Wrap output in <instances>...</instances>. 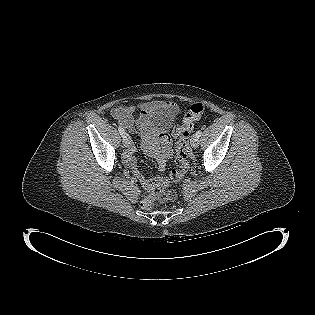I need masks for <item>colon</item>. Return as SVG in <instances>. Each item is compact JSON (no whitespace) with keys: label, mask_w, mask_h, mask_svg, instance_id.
Masks as SVG:
<instances>
[{"label":"colon","mask_w":315,"mask_h":315,"mask_svg":"<svg viewBox=\"0 0 315 315\" xmlns=\"http://www.w3.org/2000/svg\"><path fill=\"white\" fill-rule=\"evenodd\" d=\"M205 107L200 102L192 103L188 112L185 114L183 123L177 131L176 142V164L178 169H173L167 178H161L159 181L152 184L150 196L144 201L143 208L149 210L153 199H164L163 192L168 181L177 182L181 180L188 170L189 164L187 160V139L194 129L195 122L200 119ZM169 196H172L170 194Z\"/></svg>","instance_id":"obj_1"}]
</instances>
